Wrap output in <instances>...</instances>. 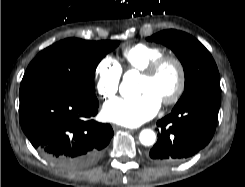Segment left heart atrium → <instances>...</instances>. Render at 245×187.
I'll return each mask as SVG.
<instances>
[{
    "label": "left heart atrium",
    "mask_w": 245,
    "mask_h": 187,
    "mask_svg": "<svg viewBox=\"0 0 245 187\" xmlns=\"http://www.w3.org/2000/svg\"><path fill=\"white\" fill-rule=\"evenodd\" d=\"M160 106V99L154 93L146 91L135 100L119 99L105 104L102 115L109 122L136 127L153 118Z\"/></svg>",
    "instance_id": "1"
}]
</instances>
